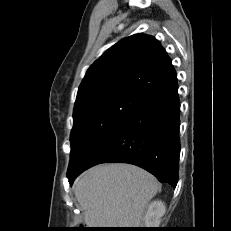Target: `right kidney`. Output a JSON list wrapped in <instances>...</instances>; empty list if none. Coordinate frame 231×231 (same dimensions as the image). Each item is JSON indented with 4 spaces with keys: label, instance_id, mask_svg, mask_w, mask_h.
<instances>
[{
    "label": "right kidney",
    "instance_id": "obj_1",
    "mask_svg": "<svg viewBox=\"0 0 231 231\" xmlns=\"http://www.w3.org/2000/svg\"><path fill=\"white\" fill-rule=\"evenodd\" d=\"M165 212L166 207L162 201L156 200L151 202L144 217V224L150 228H157Z\"/></svg>",
    "mask_w": 231,
    "mask_h": 231
}]
</instances>
